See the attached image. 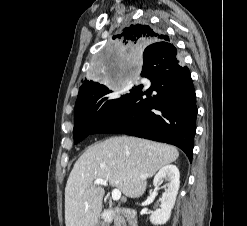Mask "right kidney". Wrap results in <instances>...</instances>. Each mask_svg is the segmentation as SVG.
I'll list each match as a JSON object with an SVG mask.
<instances>
[{
	"mask_svg": "<svg viewBox=\"0 0 247 226\" xmlns=\"http://www.w3.org/2000/svg\"><path fill=\"white\" fill-rule=\"evenodd\" d=\"M163 179L169 183L165 192L162 194L161 208L152 212L150 216V222L154 225L165 224L170 219L180 186V173L178 168L175 165L162 167L153 180V185L156 189L159 188Z\"/></svg>",
	"mask_w": 247,
	"mask_h": 226,
	"instance_id": "right-kidney-1",
	"label": "right kidney"
}]
</instances>
